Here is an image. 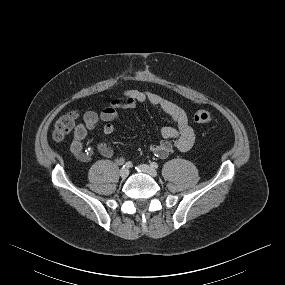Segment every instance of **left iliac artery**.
I'll return each mask as SVG.
<instances>
[{
  "label": "left iliac artery",
  "mask_w": 285,
  "mask_h": 285,
  "mask_svg": "<svg viewBox=\"0 0 285 285\" xmlns=\"http://www.w3.org/2000/svg\"><path fill=\"white\" fill-rule=\"evenodd\" d=\"M151 167L157 169L158 168V164L156 162H151Z\"/></svg>",
  "instance_id": "1"
}]
</instances>
